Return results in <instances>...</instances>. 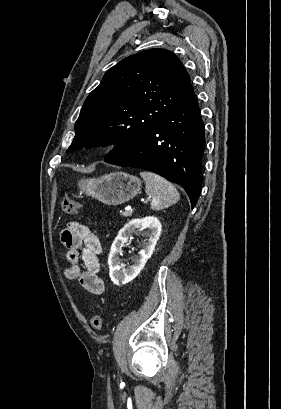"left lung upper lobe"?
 Returning <instances> with one entry per match:
<instances>
[{"label":"left lung upper lobe","instance_id":"left-lung-upper-lobe-1","mask_svg":"<svg viewBox=\"0 0 281 409\" xmlns=\"http://www.w3.org/2000/svg\"><path fill=\"white\" fill-rule=\"evenodd\" d=\"M181 61L165 49L131 55L110 68L81 109L67 152L117 143L109 162L169 114L192 93Z\"/></svg>","mask_w":281,"mask_h":409}]
</instances>
